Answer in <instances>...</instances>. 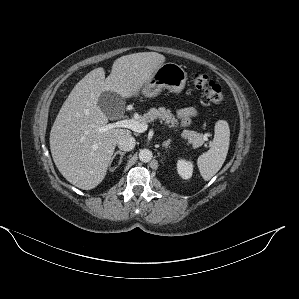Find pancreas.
Instances as JSON below:
<instances>
[{"label":"pancreas","mask_w":299,"mask_h":299,"mask_svg":"<svg viewBox=\"0 0 299 299\" xmlns=\"http://www.w3.org/2000/svg\"><path fill=\"white\" fill-rule=\"evenodd\" d=\"M156 119L164 121L165 124L170 128H175L178 125V120L174 117L173 113L169 109H165L164 107H159L158 109L151 108L143 116H140L137 121L140 123H150ZM181 137L187 140L194 149L203 145L205 141V137L203 134L190 130H184L181 133Z\"/></svg>","instance_id":"1"}]
</instances>
